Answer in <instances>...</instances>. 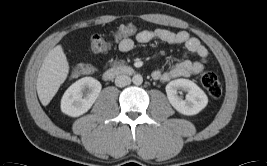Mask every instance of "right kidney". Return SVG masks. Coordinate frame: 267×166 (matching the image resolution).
<instances>
[{
	"mask_svg": "<svg viewBox=\"0 0 267 166\" xmlns=\"http://www.w3.org/2000/svg\"><path fill=\"white\" fill-rule=\"evenodd\" d=\"M101 88V83L92 77L77 80L62 97V112L72 117L86 113L98 98Z\"/></svg>",
	"mask_w": 267,
	"mask_h": 166,
	"instance_id": "right-kidney-1",
	"label": "right kidney"
}]
</instances>
